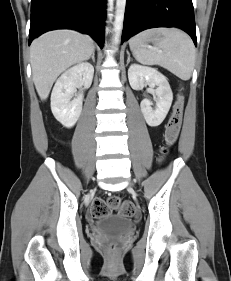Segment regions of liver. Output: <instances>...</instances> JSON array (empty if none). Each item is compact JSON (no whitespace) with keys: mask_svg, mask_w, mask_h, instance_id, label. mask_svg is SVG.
Returning a JSON list of instances; mask_svg holds the SVG:
<instances>
[{"mask_svg":"<svg viewBox=\"0 0 231 281\" xmlns=\"http://www.w3.org/2000/svg\"><path fill=\"white\" fill-rule=\"evenodd\" d=\"M91 37L72 30L47 32L30 47L33 81L41 100H46L57 77L70 66L88 60L93 51Z\"/></svg>","mask_w":231,"mask_h":281,"instance_id":"1","label":"liver"}]
</instances>
